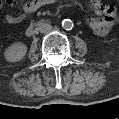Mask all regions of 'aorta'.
Listing matches in <instances>:
<instances>
[{
  "label": "aorta",
  "instance_id": "obj_1",
  "mask_svg": "<svg viewBox=\"0 0 119 119\" xmlns=\"http://www.w3.org/2000/svg\"><path fill=\"white\" fill-rule=\"evenodd\" d=\"M62 27L65 30H71L73 28V22L70 19H64L62 21Z\"/></svg>",
  "mask_w": 119,
  "mask_h": 119
}]
</instances>
